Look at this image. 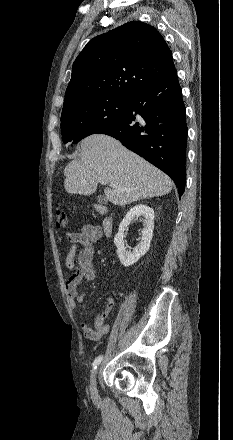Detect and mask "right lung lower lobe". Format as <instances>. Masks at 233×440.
Returning a JSON list of instances; mask_svg holds the SVG:
<instances>
[{
    "label": "right lung lower lobe",
    "instance_id": "obj_1",
    "mask_svg": "<svg viewBox=\"0 0 233 440\" xmlns=\"http://www.w3.org/2000/svg\"><path fill=\"white\" fill-rule=\"evenodd\" d=\"M98 133L118 139L164 171L174 180L179 195L183 194L187 125L176 71L134 93L123 115Z\"/></svg>",
    "mask_w": 233,
    "mask_h": 440
}]
</instances>
